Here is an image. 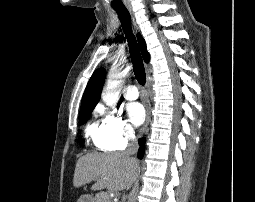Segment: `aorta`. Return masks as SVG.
<instances>
[{"label": "aorta", "instance_id": "762f6f07", "mask_svg": "<svg viewBox=\"0 0 255 202\" xmlns=\"http://www.w3.org/2000/svg\"><path fill=\"white\" fill-rule=\"evenodd\" d=\"M122 68L123 61H118L113 64L109 72L107 87L102 93V99L108 106L114 105L119 99L123 78L126 74Z\"/></svg>", "mask_w": 255, "mask_h": 202}]
</instances>
